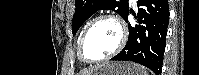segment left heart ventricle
I'll list each match as a JSON object with an SVG mask.
<instances>
[{"label":"left heart ventricle","instance_id":"left-heart-ventricle-1","mask_svg":"<svg viewBox=\"0 0 199 75\" xmlns=\"http://www.w3.org/2000/svg\"><path fill=\"white\" fill-rule=\"evenodd\" d=\"M119 30L111 21H100L88 32L83 43V54L88 59H98L115 49Z\"/></svg>","mask_w":199,"mask_h":75}]
</instances>
